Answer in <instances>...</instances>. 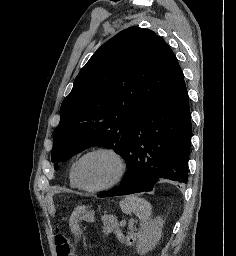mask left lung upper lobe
Wrapping results in <instances>:
<instances>
[{
  "label": "left lung upper lobe",
  "mask_w": 236,
  "mask_h": 256,
  "mask_svg": "<svg viewBox=\"0 0 236 256\" xmlns=\"http://www.w3.org/2000/svg\"><path fill=\"white\" fill-rule=\"evenodd\" d=\"M183 78L173 51L153 31L130 27L119 32L93 54L63 100L52 162L90 146L123 157L137 119Z\"/></svg>",
  "instance_id": "obj_1"
}]
</instances>
